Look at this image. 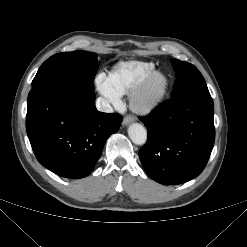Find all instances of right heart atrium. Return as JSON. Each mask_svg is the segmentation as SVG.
<instances>
[{
  "mask_svg": "<svg viewBox=\"0 0 247 247\" xmlns=\"http://www.w3.org/2000/svg\"><path fill=\"white\" fill-rule=\"evenodd\" d=\"M95 83L99 92L105 97L109 104L115 107L120 105V95L112 89L108 76L104 74H99L95 79Z\"/></svg>",
  "mask_w": 247,
  "mask_h": 247,
  "instance_id": "d8ad5b80",
  "label": "right heart atrium"
}]
</instances>
